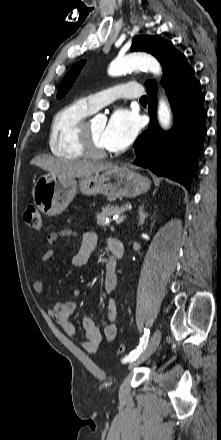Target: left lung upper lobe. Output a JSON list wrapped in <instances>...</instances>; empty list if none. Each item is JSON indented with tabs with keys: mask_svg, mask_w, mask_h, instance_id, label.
I'll list each match as a JSON object with an SVG mask.
<instances>
[{
	"mask_svg": "<svg viewBox=\"0 0 221 440\" xmlns=\"http://www.w3.org/2000/svg\"><path fill=\"white\" fill-rule=\"evenodd\" d=\"M130 51H144L154 55L161 63L162 67L168 57V55L176 51L171 42H168L157 36H136L133 38V42ZM85 61H80L74 65L63 78L59 87L57 98H63L71 88L73 82L78 76ZM151 81L146 82L148 85Z\"/></svg>",
	"mask_w": 221,
	"mask_h": 440,
	"instance_id": "obj_1",
	"label": "left lung upper lobe"
}]
</instances>
